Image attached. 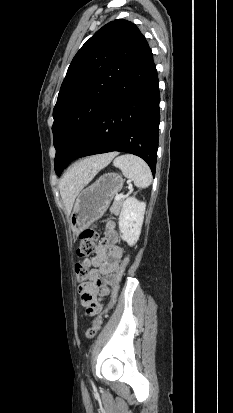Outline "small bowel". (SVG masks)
Masks as SVG:
<instances>
[{
  "label": "small bowel",
  "mask_w": 233,
  "mask_h": 413,
  "mask_svg": "<svg viewBox=\"0 0 233 413\" xmlns=\"http://www.w3.org/2000/svg\"><path fill=\"white\" fill-rule=\"evenodd\" d=\"M118 240L116 224L109 221L96 256L87 261V264L95 269L92 270L89 280L78 287L81 305L86 308L88 315H94L100 310L102 300L108 297L118 278L123 257ZM89 304L94 309H90Z\"/></svg>",
  "instance_id": "1"
}]
</instances>
